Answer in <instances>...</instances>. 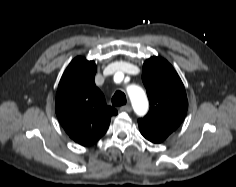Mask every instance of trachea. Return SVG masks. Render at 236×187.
<instances>
[{
  "label": "trachea",
  "instance_id": "3493384b",
  "mask_svg": "<svg viewBox=\"0 0 236 187\" xmlns=\"http://www.w3.org/2000/svg\"><path fill=\"white\" fill-rule=\"evenodd\" d=\"M126 95L121 92V91H117L113 97H112V104L114 106H122L126 104Z\"/></svg>",
  "mask_w": 236,
  "mask_h": 187
}]
</instances>
